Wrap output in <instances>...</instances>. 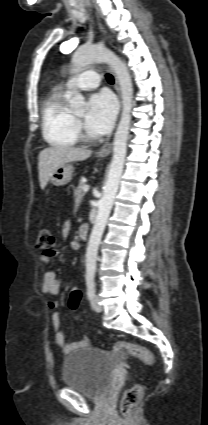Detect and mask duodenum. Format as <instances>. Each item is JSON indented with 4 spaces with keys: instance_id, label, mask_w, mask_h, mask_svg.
Here are the masks:
<instances>
[{
    "instance_id": "duodenum-1",
    "label": "duodenum",
    "mask_w": 208,
    "mask_h": 425,
    "mask_svg": "<svg viewBox=\"0 0 208 425\" xmlns=\"http://www.w3.org/2000/svg\"><path fill=\"white\" fill-rule=\"evenodd\" d=\"M79 234L82 240H86L88 238V227L86 225H82L80 227Z\"/></svg>"
}]
</instances>
